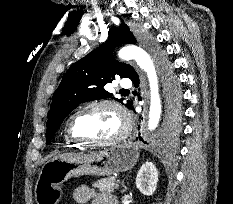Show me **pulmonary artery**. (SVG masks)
<instances>
[{"label": "pulmonary artery", "mask_w": 233, "mask_h": 204, "mask_svg": "<svg viewBox=\"0 0 233 204\" xmlns=\"http://www.w3.org/2000/svg\"><path fill=\"white\" fill-rule=\"evenodd\" d=\"M120 86L122 88H130L132 86V81L129 78H123L120 81Z\"/></svg>", "instance_id": "obj_1"}]
</instances>
